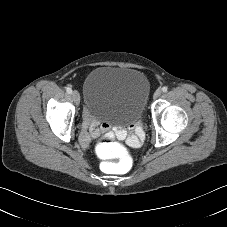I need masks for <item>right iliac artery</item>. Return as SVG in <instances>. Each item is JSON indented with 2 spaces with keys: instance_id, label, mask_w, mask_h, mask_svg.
<instances>
[{
  "instance_id": "obj_1",
  "label": "right iliac artery",
  "mask_w": 227,
  "mask_h": 227,
  "mask_svg": "<svg viewBox=\"0 0 227 227\" xmlns=\"http://www.w3.org/2000/svg\"><path fill=\"white\" fill-rule=\"evenodd\" d=\"M66 91H67L68 94H71L72 93V89L70 87H67L66 88Z\"/></svg>"
}]
</instances>
